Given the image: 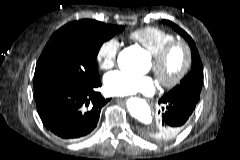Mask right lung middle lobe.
<instances>
[{
	"label": "right lung middle lobe",
	"mask_w": 240,
	"mask_h": 160,
	"mask_svg": "<svg viewBox=\"0 0 240 160\" xmlns=\"http://www.w3.org/2000/svg\"><path fill=\"white\" fill-rule=\"evenodd\" d=\"M122 30V26L89 19L58 29L36 64L34 90L53 82L73 88L93 86L100 80L96 57L101 45Z\"/></svg>",
	"instance_id": "right-lung-middle-lobe-1"
}]
</instances>
